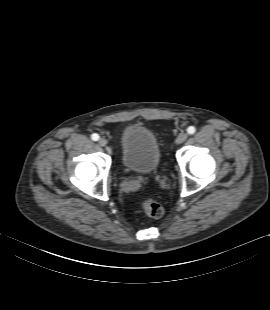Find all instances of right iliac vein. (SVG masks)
Masks as SVG:
<instances>
[{
  "mask_svg": "<svg viewBox=\"0 0 270 310\" xmlns=\"http://www.w3.org/2000/svg\"><path fill=\"white\" fill-rule=\"evenodd\" d=\"M98 142H99V145L102 147L107 145V140L104 138H100Z\"/></svg>",
  "mask_w": 270,
  "mask_h": 310,
  "instance_id": "63e3f726",
  "label": "right iliac vein"
}]
</instances>
